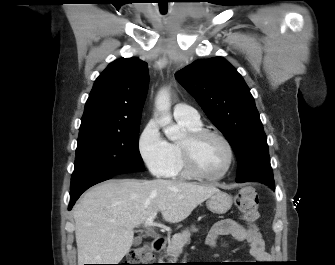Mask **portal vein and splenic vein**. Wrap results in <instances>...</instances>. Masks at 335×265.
I'll use <instances>...</instances> for the list:
<instances>
[{"label":"portal vein and splenic vein","instance_id":"obj_1","mask_svg":"<svg viewBox=\"0 0 335 265\" xmlns=\"http://www.w3.org/2000/svg\"><path fill=\"white\" fill-rule=\"evenodd\" d=\"M156 217V214H153L152 216H150L146 221H145V226L146 227H152V226H156V224L154 223V219Z\"/></svg>","mask_w":335,"mask_h":265}]
</instances>
